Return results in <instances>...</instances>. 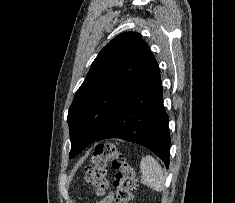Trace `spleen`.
I'll return each instance as SVG.
<instances>
[{"instance_id":"3e777b00","label":"spleen","mask_w":235,"mask_h":203,"mask_svg":"<svg viewBox=\"0 0 235 203\" xmlns=\"http://www.w3.org/2000/svg\"><path fill=\"white\" fill-rule=\"evenodd\" d=\"M140 171L142 173L141 182L151 189L161 191L165 186V177L160 164L150 155L141 159Z\"/></svg>"}]
</instances>
